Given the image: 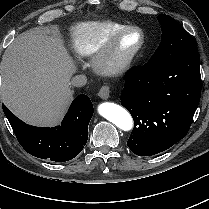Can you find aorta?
<instances>
[{"label": "aorta", "instance_id": "762f6f07", "mask_svg": "<svg viewBox=\"0 0 209 209\" xmlns=\"http://www.w3.org/2000/svg\"><path fill=\"white\" fill-rule=\"evenodd\" d=\"M98 113L121 130L129 131L133 127V119L129 112L115 103L105 102L100 104Z\"/></svg>", "mask_w": 209, "mask_h": 209}]
</instances>
